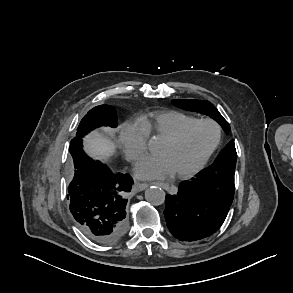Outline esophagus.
Segmentation results:
<instances>
[{
  "label": "esophagus",
  "mask_w": 293,
  "mask_h": 293,
  "mask_svg": "<svg viewBox=\"0 0 293 293\" xmlns=\"http://www.w3.org/2000/svg\"><path fill=\"white\" fill-rule=\"evenodd\" d=\"M154 184H156V185H158V186H161V187H163L164 189H168V188H169V185L166 184V183H162V182H160V183H154ZM148 186H149V184H147V183H137V190H138V191H143V190H145Z\"/></svg>",
  "instance_id": "obj_1"
}]
</instances>
